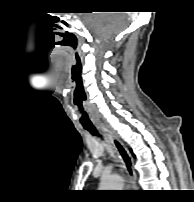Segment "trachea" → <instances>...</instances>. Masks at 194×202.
<instances>
[{
  "instance_id": "1",
  "label": "trachea",
  "mask_w": 194,
  "mask_h": 202,
  "mask_svg": "<svg viewBox=\"0 0 194 202\" xmlns=\"http://www.w3.org/2000/svg\"><path fill=\"white\" fill-rule=\"evenodd\" d=\"M84 128L88 130L92 135H98V131L92 125H84Z\"/></svg>"
}]
</instances>
